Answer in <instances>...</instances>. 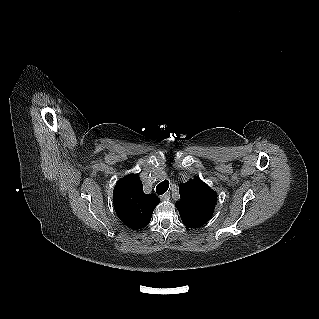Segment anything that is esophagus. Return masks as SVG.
Wrapping results in <instances>:
<instances>
[{
  "label": "esophagus",
  "instance_id": "obj_1",
  "mask_svg": "<svg viewBox=\"0 0 319 319\" xmlns=\"http://www.w3.org/2000/svg\"><path fill=\"white\" fill-rule=\"evenodd\" d=\"M160 198H161V200H164V201L169 200L170 199V193L167 192V193L161 195Z\"/></svg>",
  "mask_w": 319,
  "mask_h": 319
}]
</instances>
